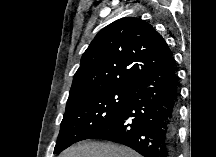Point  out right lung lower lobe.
Masks as SVG:
<instances>
[{
	"instance_id": "obj_1",
	"label": "right lung lower lobe",
	"mask_w": 216,
	"mask_h": 157,
	"mask_svg": "<svg viewBox=\"0 0 216 157\" xmlns=\"http://www.w3.org/2000/svg\"><path fill=\"white\" fill-rule=\"evenodd\" d=\"M177 77L171 56L137 81L123 110L89 139L124 144L143 157H172L176 143Z\"/></svg>"
}]
</instances>
